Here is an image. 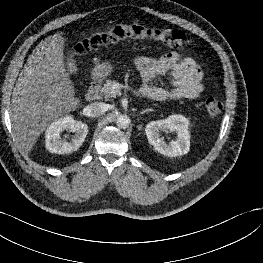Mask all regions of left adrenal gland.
I'll return each instance as SVG.
<instances>
[{"label":"left adrenal gland","instance_id":"a2214340","mask_svg":"<svg viewBox=\"0 0 263 263\" xmlns=\"http://www.w3.org/2000/svg\"><path fill=\"white\" fill-rule=\"evenodd\" d=\"M149 111H152V109L143 110V111L141 112V114H144V113L149 112Z\"/></svg>","mask_w":263,"mask_h":263}]
</instances>
